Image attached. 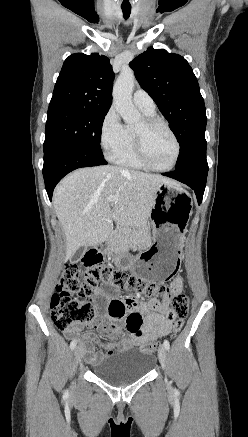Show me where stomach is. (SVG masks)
Instances as JSON below:
<instances>
[{
	"mask_svg": "<svg viewBox=\"0 0 248 437\" xmlns=\"http://www.w3.org/2000/svg\"><path fill=\"white\" fill-rule=\"evenodd\" d=\"M191 214L189 194L177 184H161L150 210L152 243L138 253L137 262L122 252L117 259V272L136 273L144 286H167L180 266L181 253Z\"/></svg>",
	"mask_w": 248,
	"mask_h": 437,
	"instance_id": "stomach-1",
	"label": "stomach"
}]
</instances>
